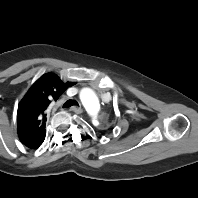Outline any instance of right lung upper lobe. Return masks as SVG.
Masks as SVG:
<instances>
[{"mask_svg": "<svg viewBox=\"0 0 198 198\" xmlns=\"http://www.w3.org/2000/svg\"><path fill=\"white\" fill-rule=\"evenodd\" d=\"M72 85L63 83L56 74L46 73L31 86L17 111V132L25 146L36 149L43 143L46 110L52 101H56Z\"/></svg>", "mask_w": 198, "mask_h": 198, "instance_id": "obj_1", "label": "right lung upper lobe"}]
</instances>
